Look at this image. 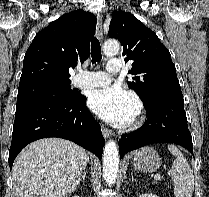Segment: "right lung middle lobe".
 <instances>
[{
  "label": "right lung middle lobe",
  "instance_id": "dd1d6c3e",
  "mask_svg": "<svg viewBox=\"0 0 209 197\" xmlns=\"http://www.w3.org/2000/svg\"><path fill=\"white\" fill-rule=\"evenodd\" d=\"M79 93L70 87V81H44L19 86L16 108L44 101L75 99Z\"/></svg>",
  "mask_w": 209,
  "mask_h": 197
}]
</instances>
